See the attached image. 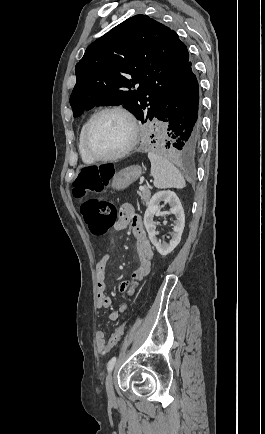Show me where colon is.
<instances>
[{
	"mask_svg": "<svg viewBox=\"0 0 265 434\" xmlns=\"http://www.w3.org/2000/svg\"><path fill=\"white\" fill-rule=\"evenodd\" d=\"M113 170L112 164H86L85 168H79L76 180L73 181V193H90L91 189H99L100 181H110ZM79 212L91 234L104 235L116 222L117 210L112 202L104 198H90L79 204ZM123 334V328L118 329L108 339L102 358L110 355L112 344H117Z\"/></svg>",
	"mask_w": 265,
	"mask_h": 434,
	"instance_id": "1",
	"label": "colon"
}]
</instances>
